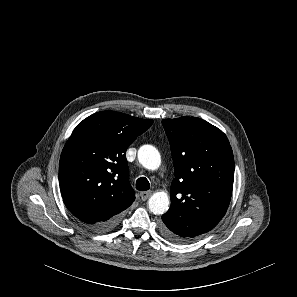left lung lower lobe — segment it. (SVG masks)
Here are the masks:
<instances>
[{"label": "left lung lower lobe", "instance_id": "1", "mask_svg": "<svg viewBox=\"0 0 297 297\" xmlns=\"http://www.w3.org/2000/svg\"><path fill=\"white\" fill-rule=\"evenodd\" d=\"M162 220H163V223L161 225V231L167 239L176 243L187 242L186 240H183L181 237H179L176 234V230L174 229V226L171 220H169L167 217H164V216H162Z\"/></svg>", "mask_w": 297, "mask_h": 297}]
</instances>
